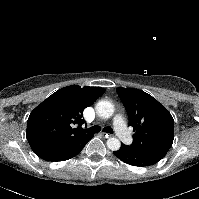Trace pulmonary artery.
I'll list each match as a JSON object with an SVG mask.
<instances>
[{"instance_id":"e3ab8cb5","label":"pulmonary artery","mask_w":199,"mask_h":199,"mask_svg":"<svg viewBox=\"0 0 199 199\" xmlns=\"http://www.w3.org/2000/svg\"><path fill=\"white\" fill-rule=\"evenodd\" d=\"M114 129L116 134L118 135V137L127 145L132 144L133 142V137L130 134V132L128 131L125 122H124V118L122 115H117L114 118Z\"/></svg>"}]
</instances>
